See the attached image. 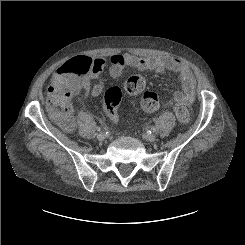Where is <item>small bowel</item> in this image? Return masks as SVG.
Returning <instances> with one entry per match:
<instances>
[{"mask_svg": "<svg viewBox=\"0 0 245 245\" xmlns=\"http://www.w3.org/2000/svg\"><path fill=\"white\" fill-rule=\"evenodd\" d=\"M104 68V61L95 59ZM110 74L113 77H119L126 68L136 70H155L171 71L179 75L181 91L174 93L173 97L167 102L160 105L163 108L173 107L174 103L181 99L185 104H191L195 97V80L190 70L178 59L165 56L137 57L129 53H116L110 56ZM64 65V64H63ZM63 65H60L55 71L52 80L63 81L64 74L62 72ZM104 89L103 82H98L90 85L89 81L81 86L73 87L72 91L75 94L84 93L87 97H98ZM118 118V114H117Z\"/></svg>", "mask_w": 245, "mask_h": 245, "instance_id": "small-bowel-1", "label": "small bowel"}]
</instances>
